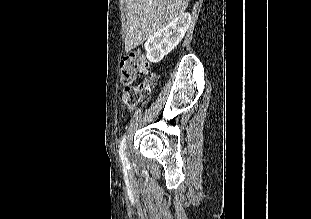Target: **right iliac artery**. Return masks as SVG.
<instances>
[{
	"label": "right iliac artery",
	"mask_w": 311,
	"mask_h": 219,
	"mask_svg": "<svg viewBox=\"0 0 311 219\" xmlns=\"http://www.w3.org/2000/svg\"><path fill=\"white\" fill-rule=\"evenodd\" d=\"M125 149H126V135L123 136L120 146H119V155L122 161V164L124 167H128L129 163L125 154Z\"/></svg>",
	"instance_id": "obj_1"
}]
</instances>
